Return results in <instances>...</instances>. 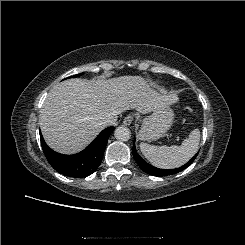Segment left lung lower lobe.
<instances>
[{"label": "left lung lower lobe", "instance_id": "obj_1", "mask_svg": "<svg viewBox=\"0 0 245 245\" xmlns=\"http://www.w3.org/2000/svg\"><path fill=\"white\" fill-rule=\"evenodd\" d=\"M132 153H133V156H134V159L135 161L137 162V164L139 165V167L146 173L150 174V175H153V176H158V177H161V176H168V175H171V174H175V173H178L182 170H184L185 168H187L194 160L195 158L197 157L198 153L192 157V159H190L185 165L179 167V168H176V169H159V168H156L150 164H148L147 162H145L136 152V149H135V146H133V149H132Z\"/></svg>", "mask_w": 245, "mask_h": 245}]
</instances>
